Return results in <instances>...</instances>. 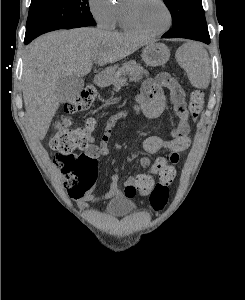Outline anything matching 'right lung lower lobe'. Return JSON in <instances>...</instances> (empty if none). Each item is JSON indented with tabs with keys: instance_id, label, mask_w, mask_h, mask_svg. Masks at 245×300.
<instances>
[{
	"instance_id": "1",
	"label": "right lung lower lobe",
	"mask_w": 245,
	"mask_h": 300,
	"mask_svg": "<svg viewBox=\"0 0 245 300\" xmlns=\"http://www.w3.org/2000/svg\"><path fill=\"white\" fill-rule=\"evenodd\" d=\"M31 41H32V40L25 39L24 43H25V44H28V43H30Z\"/></svg>"
}]
</instances>
